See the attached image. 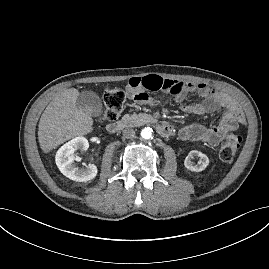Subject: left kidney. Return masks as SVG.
<instances>
[{
  "label": "left kidney",
  "instance_id": "left-kidney-1",
  "mask_svg": "<svg viewBox=\"0 0 269 269\" xmlns=\"http://www.w3.org/2000/svg\"><path fill=\"white\" fill-rule=\"evenodd\" d=\"M194 157H199L200 160L198 162V164L195 165V163L192 161V159ZM209 164V158L202 152L197 151V150H192L189 152V154L187 155L185 161H184V165L185 167L193 172H200L202 170H204Z\"/></svg>",
  "mask_w": 269,
  "mask_h": 269
}]
</instances>
